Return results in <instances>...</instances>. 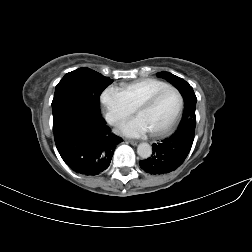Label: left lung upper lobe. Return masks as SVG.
Masks as SVG:
<instances>
[{
	"instance_id": "obj_1",
	"label": "left lung upper lobe",
	"mask_w": 252,
	"mask_h": 252,
	"mask_svg": "<svg viewBox=\"0 0 252 252\" xmlns=\"http://www.w3.org/2000/svg\"><path fill=\"white\" fill-rule=\"evenodd\" d=\"M158 76L167 79L171 84H173L180 91L183 98L187 93L194 94L192 87L182 78L165 71L159 72Z\"/></svg>"
}]
</instances>
